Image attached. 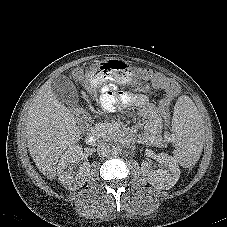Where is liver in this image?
I'll list each match as a JSON object with an SVG mask.
<instances>
[{"mask_svg": "<svg viewBox=\"0 0 227 227\" xmlns=\"http://www.w3.org/2000/svg\"><path fill=\"white\" fill-rule=\"evenodd\" d=\"M52 79L45 82L33 99L26 118L29 153L36 167L52 180L62 152L80 139L75 116L54 95Z\"/></svg>", "mask_w": 227, "mask_h": 227, "instance_id": "1", "label": "liver"}]
</instances>
